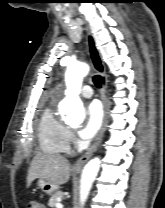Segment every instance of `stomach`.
<instances>
[{
  "label": "stomach",
  "instance_id": "stomach-1",
  "mask_svg": "<svg viewBox=\"0 0 165 208\" xmlns=\"http://www.w3.org/2000/svg\"><path fill=\"white\" fill-rule=\"evenodd\" d=\"M38 187L41 189L42 192H44L47 195H52L58 189L56 185L44 179H39Z\"/></svg>",
  "mask_w": 165,
  "mask_h": 208
}]
</instances>
